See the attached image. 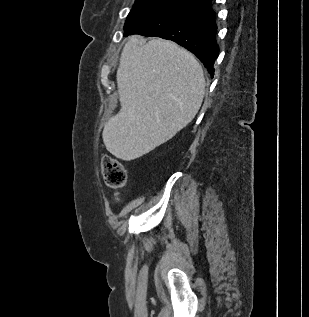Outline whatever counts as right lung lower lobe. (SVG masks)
I'll return each instance as SVG.
<instances>
[{"mask_svg":"<svg viewBox=\"0 0 309 317\" xmlns=\"http://www.w3.org/2000/svg\"><path fill=\"white\" fill-rule=\"evenodd\" d=\"M216 33L211 0H178L138 19L124 36L141 34L175 41L194 53L213 74L219 53Z\"/></svg>","mask_w":309,"mask_h":317,"instance_id":"1","label":"right lung lower lobe"}]
</instances>
